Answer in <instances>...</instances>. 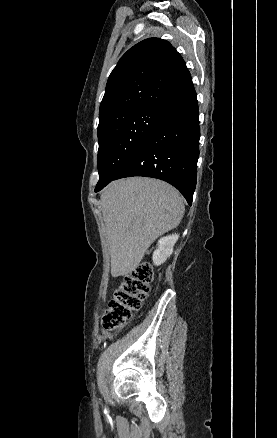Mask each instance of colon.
<instances>
[{
  "instance_id": "colon-1",
  "label": "colon",
  "mask_w": 277,
  "mask_h": 438,
  "mask_svg": "<svg viewBox=\"0 0 277 438\" xmlns=\"http://www.w3.org/2000/svg\"><path fill=\"white\" fill-rule=\"evenodd\" d=\"M151 278L152 273L148 266H139L131 274L123 277L114 288L109 308L103 317L104 322L99 325L102 331L130 321L150 294L148 279Z\"/></svg>"
}]
</instances>
